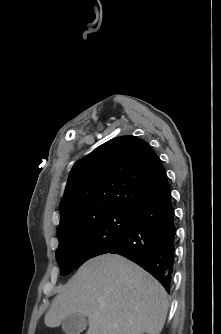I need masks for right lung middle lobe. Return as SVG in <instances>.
I'll return each mask as SVG.
<instances>
[{"instance_id": "1", "label": "right lung middle lobe", "mask_w": 221, "mask_h": 334, "mask_svg": "<svg viewBox=\"0 0 221 334\" xmlns=\"http://www.w3.org/2000/svg\"><path fill=\"white\" fill-rule=\"evenodd\" d=\"M132 213L110 212L84 220L58 237L56 259L61 274L117 245L131 223Z\"/></svg>"}]
</instances>
